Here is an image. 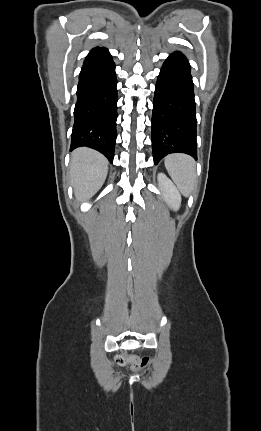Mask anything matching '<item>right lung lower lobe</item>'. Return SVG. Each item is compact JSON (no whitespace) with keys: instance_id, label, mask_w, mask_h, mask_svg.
<instances>
[{"instance_id":"1","label":"right lung lower lobe","mask_w":261,"mask_h":431,"mask_svg":"<svg viewBox=\"0 0 261 431\" xmlns=\"http://www.w3.org/2000/svg\"><path fill=\"white\" fill-rule=\"evenodd\" d=\"M117 79L109 51L93 48L87 55L77 88L71 149L93 148L113 161L116 143Z\"/></svg>"}]
</instances>
